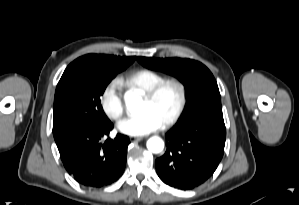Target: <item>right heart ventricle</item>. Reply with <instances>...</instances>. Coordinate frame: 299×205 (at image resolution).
<instances>
[{
    "instance_id": "1",
    "label": "right heart ventricle",
    "mask_w": 299,
    "mask_h": 205,
    "mask_svg": "<svg viewBox=\"0 0 299 205\" xmlns=\"http://www.w3.org/2000/svg\"><path fill=\"white\" fill-rule=\"evenodd\" d=\"M164 79H166L164 75L154 70L138 69L118 79V81L120 85L143 94Z\"/></svg>"
}]
</instances>
